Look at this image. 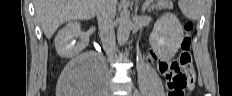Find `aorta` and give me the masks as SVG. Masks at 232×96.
I'll return each mask as SVG.
<instances>
[{"mask_svg":"<svg viewBox=\"0 0 232 96\" xmlns=\"http://www.w3.org/2000/svg\"><path fill=\"white\" fill-rule=\"evenodd\" d=\"M131 26L130 12L127 8H124L120 15V22L117 31V40L119 45H124L128 41Z\"/></svg>","mask_w":232,"mask_h":96,"instance_id":"obj_1","label":"aorta"}]
</instances>
